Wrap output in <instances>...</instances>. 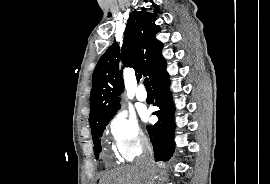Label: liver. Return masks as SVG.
Returning <instances> with one entry per match:
<instances>
[{
    "label": "liver",
    "instance_id": "obj_1",
    "mask_svg": "<svg viewBox=\"0 0 270 184\" xmlns=\"http://www.w3.org/2000/svg\"><path fill=\"white\" fill-rule=\"evenodd\" d=\"M148 172L139 166H127L106 172L99 184H144Z\"/></svg>",
    "mask_w": 270,
    "mask_h": 184
}]
</instances>
